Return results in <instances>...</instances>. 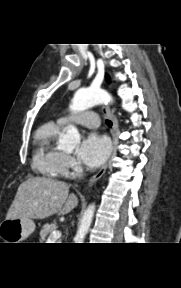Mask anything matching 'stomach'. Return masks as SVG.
<instances>
[{
  "label": "stomach",
  "instance_id": "1",
  "mask_svg": "<svg viewBox=\"0 0 181 288\" xmlns=\"http://www.w3.org/2000/svg\"><path fill=\"white\" fill-rule=\"evenodd\" d=\"M35 230L32 219H5L0 223V238L5 243H21L26 240Z\"/></svg>",
  "mask_w": 181,
  "mask_h": 288
}]
</instances>
